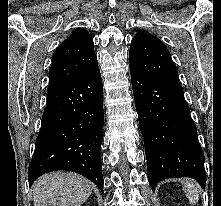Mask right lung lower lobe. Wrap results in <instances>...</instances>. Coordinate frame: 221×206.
I'll return each instance as SVG.
<instances>
[{
    "label": "right lung lower lobe",
    "mask_w": 221,
    "mask_h": 206,
    "mask_svg": "<svg viewBox=\"0 0 221 206\" xmlns=\"http://www.w3.org/2000/svg\"><path fill=\"white\" fill-rule=\"evenodd\" d=\"M103 85L99 67L47 91V103L28 169L29 186L56 170L74 171L103 190Z\"/></svg>",
    "instance_id": "98d812e1"
}]
</instances>
